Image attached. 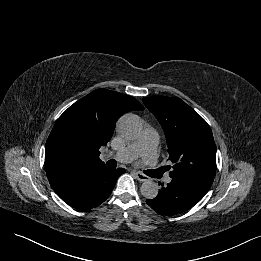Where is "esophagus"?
<instances>
[{"label":"esophagus","mask_w":261,"mask_h":261,"mask_svg":"<svg viewBox=\"0 0 261 261\" xmlns=\"http://www.w3.org/2000/svg\"><path fill=\"white\" fill-rule=\"evenodd\" d=\"M134 175H135V177H136L139 181H141V182L147 181V180L149 179L148 176H146V175H144V174H142V173H140V172H134Z\"/></svg>","instance_id":"obj_1"}]
</instances>
